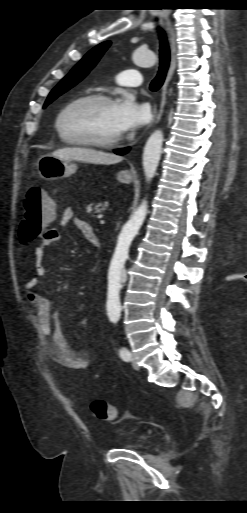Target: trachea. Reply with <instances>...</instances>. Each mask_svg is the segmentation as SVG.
Masks as SVG:
<instances>
[{
	"label": "trachea",
	"instance_id": "3493384b",
	"mask_svg": "<svg viewBox=\"0 0 247 513\" xmlns=\"http://www.w3.org/2000/svg\"><path fill=\"white\" fill-rule=\"evenodd\" d=\"M160 38V67L157 76L153 79L150 84L151 91H157L163 85L166 72L170 63V51L166 38V34L162 28H159Z\"/></svg>",
	"mask_w": 247,
	"mask_h": 513
}]
</instances>
